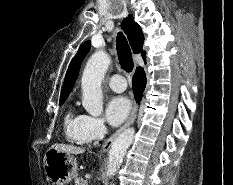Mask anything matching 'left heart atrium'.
<instances>
[{
  "label": "left heart atrium",
  "mask_w": 233,
  "mask_h": 185,
  "mask_svg": "<svg viewBox=\"0 0 233 185\" xmlns=\"http://www.w3.org/2000/svg\"><path fill=\"white\" fill-rule=\"evenodd\" d=\"M131 109L130 101L124 96H115L110 99L106 107V119L113 125L121 124L129 115Z\"/></svg>",
  "instance_id": "obj_1"
}]
</instances>
